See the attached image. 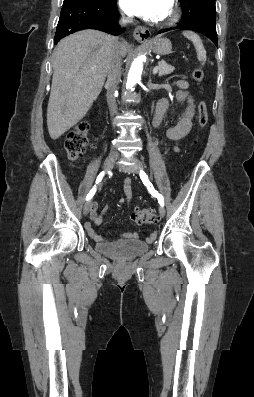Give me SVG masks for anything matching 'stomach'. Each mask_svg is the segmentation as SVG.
<instances>
[{
    "label": "stomach",
    "mask_w": 254,
    "mask_h": 397,
    "mask_svg": "<svg viewBox=\"0 0 254 397\" xmlns=\"http://www.w3.org/2000/svg\"><path fill=\"white\" fill-rule=\"evenodd\" d=\"M153 52L159 55H167L172 50V44L169 39L157 37L149 43Z\"/></svg>",
    "instance_id": "stomach-1"
}]
</instances>
